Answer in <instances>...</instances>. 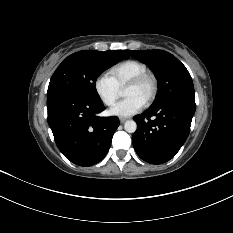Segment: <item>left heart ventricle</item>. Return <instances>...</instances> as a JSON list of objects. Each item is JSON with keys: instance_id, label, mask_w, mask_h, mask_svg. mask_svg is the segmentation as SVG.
Here are the masks:
<instances>
[{"instance_id": "obj_1", "label": "left heart ventricle", "mask_w": 233, "mask_h": 233, "mask_svg": "<svg viewBox=\"0 0 233 233\" xmlns=\"http://www.w3.org/2000/svg\"><path fill=\"white\" fill-rule=\"evenodd\" d=\"M151 91V84L149 82L144 83L140 86H129L124 89V96H137L142 99L144 102L147 99Z\"/></svg>"}]
</instances>
